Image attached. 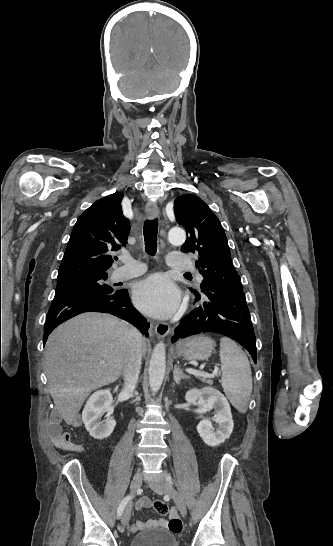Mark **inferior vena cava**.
<instances>
[{
    "mask_svg": "<svg viewBox=\"0 0 333 546\" xmlns=\"http://www.w3.org/2000/svg\"><path fill=\"white\" fill-rule=\"evenodd\" d=\"M124 338L126 341L123 367L124 393L131 396L137 385L141 369L143 339L141 333L137 329L126 324Z\"/></svg>",
    "mask_w": 333,
    "mask_h": 546,
    "instance_id": "602c4592",
    "label": "inferior vena cava"
}]
</instances>
